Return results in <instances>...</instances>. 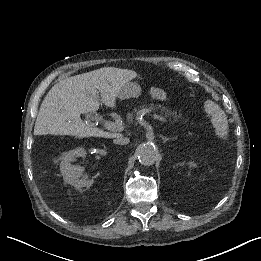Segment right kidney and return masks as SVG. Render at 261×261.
<instances>
[{
  "mask_svg": "<svg viewBox=\"0 0 261 261\" xmlns=\"http://www.w3.org/2000/svg\"><path fill=\"white\" fill-rule=\"evenodd\" d=\"M77 157L85 158L86 152L83 149H77L75 151L64 154L59 170L63 175L64 181L74 186L76 189L90 188L93 185L94 180L78 179V167L70 165V162L74 161V159Z\"/></svg>",
  "mask_w": 261,
  "mask_h": 261,
  "instance_id": "ca27d5eb",
  "label": "right kidney"
}]
</instances>
